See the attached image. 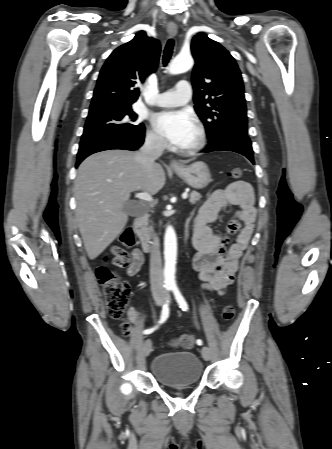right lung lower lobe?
I'll return each instance as SVG.
<instances>
[{"label":"right lung lower lobe","instance_id":"98d812e1","mask_svg":"<svg viewBox=\"0 0 332 449\" xmlns=\"http://www.w3.org/2000/svg\"><path fill=\"white\" fill-rule=\"evenodd\" d=\"M144 142V131L134 136H118V135H100L87 139H82L80 142L79 151L77 154L76 167L87 156L110 149H124L136 150Z\"/></svg>","mask_w":332,"mask_h":449}]
</instances>
